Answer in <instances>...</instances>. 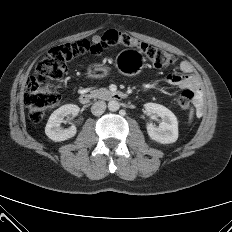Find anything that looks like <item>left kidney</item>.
<instances>
[{"mask_svg":"<svg viewBox=\"0 0 232 232\" xmlns=\"http://www.w3.org/2000/svg\"><path fill=\"white\" fill-rule=\"evenodd\" d=\"M144 106L147 113L156 114L162 120L158 128L153 124L147 125L149 137L161 144L176 142L178 139V121L174 113L165 106L156 103H147Z\"/></svg>","mask_w":232,"mask_h":232,"instance_id":"1","label":"left kidney"}]
</instances>
